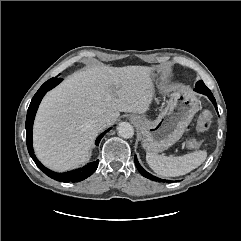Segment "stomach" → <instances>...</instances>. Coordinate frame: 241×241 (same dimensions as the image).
Masks as SVG:
<instances>
[{
	"mask_svg": "<svg viewBox=\"0 0 241 241\" xmlns=\"http://www.w3.org/2000/svg\"><path fill=\"white\" fill-rule=\"evenodd\" d=\"M166 70L157 66L152 69V79L160 81ZM199 108V100L186 88H174L166 107L151 121L143 116H133L142 135V146L152 153L162 152L175 144L183 135Z\"/></svg>",
	"mask_w": 241,
	"mask_h": 241,
	"instance_id": "0dacf381",
	"label": "stomach"
}]
</instances>
